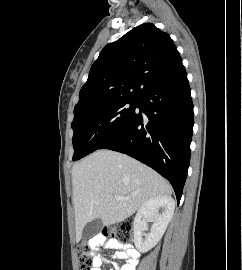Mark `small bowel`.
Listing matches in <instances>:
<instances>
[{
    "instance_id": "1",
    "label": "small bowel",
    "mask_w": 242,
    "mask_h": 270,
    "mask_svg": "<svg viewBox=\"0 0 242 270\" xmlns=\"http://www.w3.org/2000/svg\"><path fill=\"white\" fill-rule=\"evenodd\" d=\"M90 247L92 250H99L100 247L115 250V253L111 258H108L103 254L96 255L93 259L91 270H103L102 266L105 264L112 265V268L109 270H136L139 252L133 245L97 236L90 241ZM119 260H125V263L121 264Z\"/></svg>"
}]
</instances>
